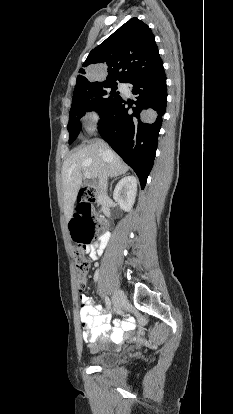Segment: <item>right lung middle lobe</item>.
<instances>
[{"mask_svg":"<svg viewBox=\"0 0 233 414\" xmlns=\"http://www.w3.org/2000/svg\"><path fill=\"white\" fill-rule=\"evenodd\" d=\"M117 82L100 83L86 91L73 95L72 106L69 112V144H71L81 130L80 118L87 112L95 110L102 115L113 106L121 97L116 91Z\"/></svg>","mask_w":233,"mask_h":414,"instance_id":"dd1d6c3e","label":"right lung middle lobe"}]
</instances>
